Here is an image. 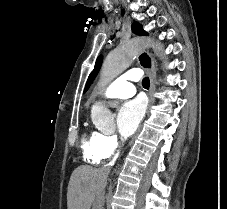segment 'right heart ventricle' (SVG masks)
Returning a JSON list of instances; mask_svg holds the SVG:
<instances>
[{
  "instance_id": "obj_1",
  "label": "right heart ventricle",
  "mask_w": 227,
  "mask_h": 209,
  "mask_svg": "<svg viewBox=\"0 0 227 209\" xmlns=\"http://www.w3.org/2000/svg\"><path fill=\"white\" fill-rule=\"evenodd\" d=\"M104 134L100 131H92L82 141V152L84 160L92 165H100L111 153L103 143Z\"/></svg>"
}]
</instances>
